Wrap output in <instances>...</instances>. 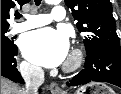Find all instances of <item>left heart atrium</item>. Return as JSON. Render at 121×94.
Masks as SVG:
<instances>
[{"label": "left heart atrium", "mask_w": 121, "mask_h": 94, "mask_svg": "<svg viewBox=\"0 0 121 94\" xmlns=\"http://www.w3.org/2000/svg\"><path fill=\"white\" fill-rule=\"evenodd\" d=\"M22 50L31 62L56 67L67 59L69 41L63 32L47 27L28 33L23 40Z\"/></svg>", "instance_id": "left-heart-atrium-1"}]
</instances>
